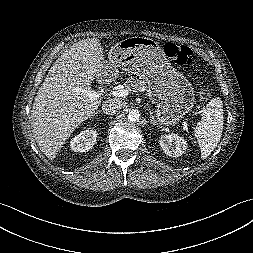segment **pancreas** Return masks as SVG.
<instances>
[{"instance_id":"1","label":"pancreas","mask_w":253,"mask_h":253,"mask_svg":"<svg viewBox=\"0 0 253 253\" xmlns=\"http://www.w3.org/2000/svg\"><path fill=\"white\" fill-rule=\"evenodd\" d=\"M124 85L126 89H128L129 91L133 90L134 92H137V91L145 90L146 82L131 76L126 79Z\"/></svg>"}]
</instances>
